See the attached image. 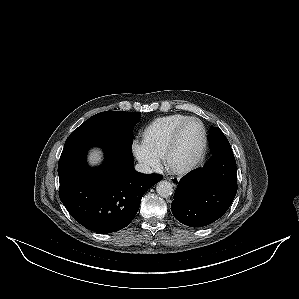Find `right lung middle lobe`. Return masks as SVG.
Masks as SVG:
<instances>
[{
  "instance_id": "obj_1",
  "label": "right lung middle lobe",
  "mask_w": 299,
  "mask_h": 299,
  "mask_svg": "<svg viewBox=\"0 0 299 299\" xmlns=\"http://www.w3.org/2000/svg\"><path fill=\"white\" fill-rule=\"evenodd\" d=\"M140 112L106 111L90 117L75 129L69 137H90L115 141L132 148L133 128Z\"/></svg>"
}]
</instances>
